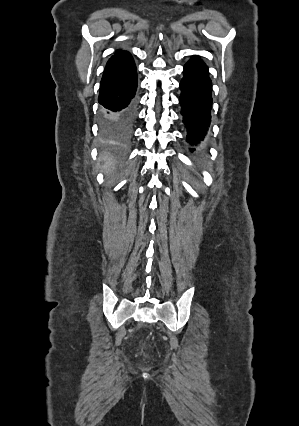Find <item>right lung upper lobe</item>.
Wrapping results in <instances>:
<instances>
[{
	"mask_svg": "<svg viewBox=\"0 0 299 426\" xmlns=\"http://www.w3.org/2000/svg\"><path fill=\"white\" fill-rule=\"evenodd\" d=\"M120 53H125V51H121V50H119V51H117L114 55H116V54H120Z\"/></svg>",
	"mask_w": 299,
	"mask_h": 426,
	"instance_id": "cb5924a9",
	"label": "right lung upper lobe"
}]
</instances>
